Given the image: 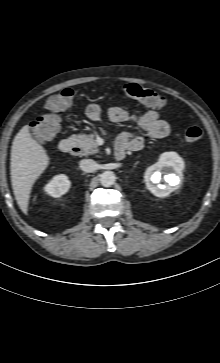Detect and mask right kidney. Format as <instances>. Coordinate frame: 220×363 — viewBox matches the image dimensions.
<instances>
[{
    "mask_svg": "<svg viewBox=\"0 0 220 363\" xmlns=\"http://www.w3.org/2000/svg\"><path fill=\"white\" fill-rule=\"evenodd\" d=\"M71 186L68 177L64 174L56 175L52 178V180L45 185L44 191L46 194L54 197L59 198L68 192Z\"/></svg>",
    "mask_w": 220,
    "mask_h": 363,
    "instance_id": "1",
    "label": "right kidney"
}]
</instances>
